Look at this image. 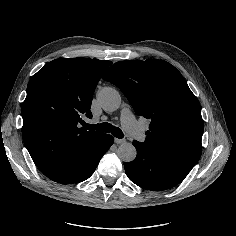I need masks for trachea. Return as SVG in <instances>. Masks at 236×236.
Returning a JSON list of instances; mask_svg holds the SVG:
<instances>
[{
    "label": "trachea",
    "mask_w": 236,
    "mask_h": 236,
    "mask_svg": "<svg viewBox=\"0 0 236 236\" xmlns=\"http://www.w3.org/2000/svg\"><path fill=\"white\" fill-rule=\"evenodd\" d=\"M82 126L84 129L87 130H97L101 132H111L113 136H115L118 139H122L124 137V133L122 130L116 126H112L110 123H97V124H87L84 121H82Z\"/></svg>",
    "instance_id": "obj_1"
}]
</instances>
